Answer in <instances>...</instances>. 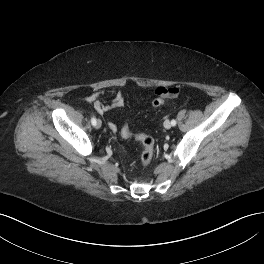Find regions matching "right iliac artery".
Returning a JSON list of instances; mask_svg holds the SVG:
<instances>
[{"instance_id": "obj_1", "label": "right iliac artery", "mask_w": 264, "mask_h": 264, "mask_svg": "<svg viewBox=\"0 0 264 264\" xmlns=\"http://www.w3.org/2000/svg\"><path fill=\"white\" fill-rule=\"evenodd\" d=\"M91 123L93 126H96V119L94 117L91 118Z\"/></svg>"}]
</instances>
